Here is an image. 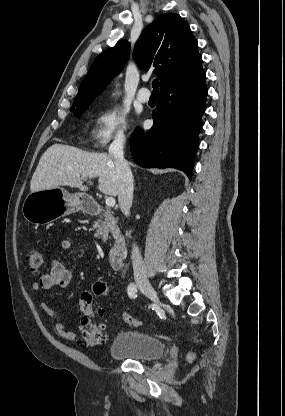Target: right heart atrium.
<instances>
[{"mask_svg": "<svg viewBox=\"0 0 285 416\" xmlns=\"http://www.w3.org/2000/svg\"><path fill=\"white\" fill-rule=\"evenodd\" d=\"M126 119L117 107H108L97 111L93 117L90 142L97 149L106 148L113 141L124 138Z\"/></svg>", "mask_w": 285, "mask_h": 416, "instance_id": "d8ad5b80", "label": "right heart atrium"}]
</instances>
